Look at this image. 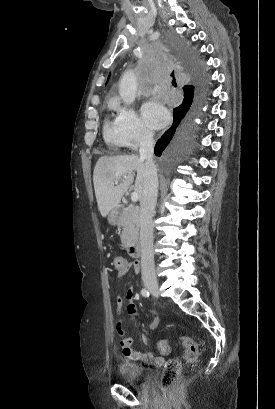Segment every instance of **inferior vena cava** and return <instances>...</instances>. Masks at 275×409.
I'll return each instance as SVG.
<instances>
[{"mask_svg": "<svg viewBox=\"0 0 275 409\" xmlns=\"http://www.w3.org/2000/svg\"><path fill=\"white\" fill-rule=\"evenodd\" d=\"M140 158H145L143 194L140 200L141 275L143 281H156L153 251V213L156 207L158 176L154 164V142L151 130H141Z\"/></svg>", "mask_w": 275, "mask_h": 409, "instance_id": "obj_1", "label": "inferior vena cava"}]
</instances>
